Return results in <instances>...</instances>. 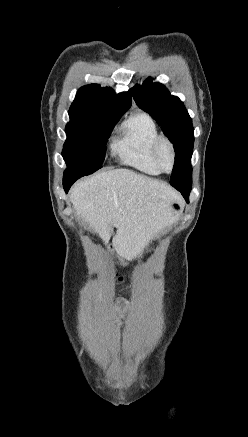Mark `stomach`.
I'll return each instance as SVG.
<instances>
[{
  "label": "stomach",
  "instance_id": "0dacf381",
  "mask_svg": "<svg viewBox=\"0 0 248 437\" xmlns=\"http://www.w3.org/2000/svg\"><path fill=\"white\" fill-rule=\"evenodd\" d=\"M171 207L174 214V218L177 219L183 211V204L180 201H174L172 202Z\"/></svg>",
  "mask_w": 248,
  "mask_h": 437
}]
</instances>
